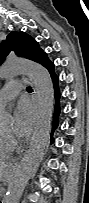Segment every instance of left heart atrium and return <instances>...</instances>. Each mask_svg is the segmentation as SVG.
I'll use <instances>...</instances> for the list:
<instances>
[{
  "mask_svg": "<svg viewBox=\"0 0 89 203\" xmlns=\"http://www.w3.org/2000/svg\"><path fill=\"white\" fill-rule=\"evenodd\" d=\"M15 132L19 138H26L32 131L35 122V111L32 105L21 100L14 113Z\"/></svg>",
  "mask_w": 89,
  "mask_h": 203,
  "instance_id": "1",
  "label": "left heart atrium"
}]
</instances>
